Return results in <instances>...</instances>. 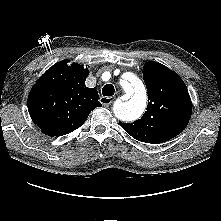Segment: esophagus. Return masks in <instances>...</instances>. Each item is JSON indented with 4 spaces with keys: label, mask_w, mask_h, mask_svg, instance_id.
Wrapping results in <instances>:
<instances>
[{
    "label": "esophagus",
    "mask_w": 221,
    "mask_h": 221,
    "mask_svg": "<svg viewBox=\"0 0 221 221\" xmlns=\"http://www.w3.org/2000/svg\"><path fill=\"white\" fill-rule=\"evenodd\" d=\"M114 101V97H100V102L105 106L108 107Z\"/></svg>",
    "instance_id": "obj_1"
}]
</instances>
